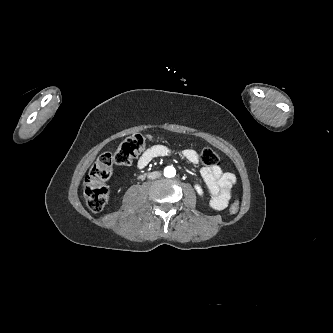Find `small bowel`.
Instances as JSON below:
<instances>
[{
  "mask_svg": "<svg viewBox=\"0 0 333 333\" xmlns=\"http://www.w3.org/2000/svg\"><path fill=\"white\" fill-rule=\"evenodd\" d=\"M170 152V148L165 145H154L143 152L138 159L137 166L140 169H144L153 159L167 156ZM181 155L192 164L198 163V154L193 149H183ZM201 176L211 195L210 206L215 210L225 209L231 198L232 188L236 183L235 175L231 172H224L220 166L214 165L203 167Z\"/></svg>",
  "mask_w": 333,
  "mask_h": 333,
  "instance_id": "c3829d8e",
  "label": "small bowel"
}]
</instances>
